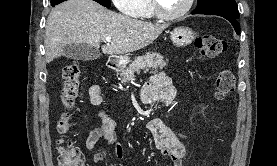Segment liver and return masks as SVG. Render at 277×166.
<instances>
[{
	"mask_svg": "<svg viewBox=\"0 0 277 166\" xmlns=\"http://www.w3.org/2000/svg\"><path fill=\"white\" fill-rule=\"evenodd\" d=\"M168 24L149 23L113 12L93 0H67L50 12L45 28V59L64 55L68 44L102 46L108 55H127L150 45Z\"/></svg>",
	"mask_w": 277,
	"mask_h": 166,
	"instance_id": "6515ba94",
	"label": "liver"
}]
</instances>
